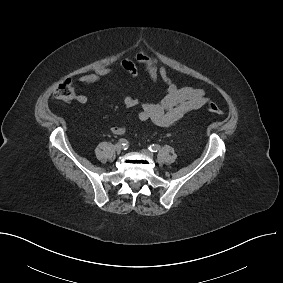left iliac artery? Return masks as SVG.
Returning a JSON list of instances; mask_svg holds the SVG:
<instances>
[{"label": "left iliac artery", "instance_id": "obj_1", "mask_svg": "<svg viewBox=\"0 0 283 283\" xmlns=\"http://www.w3.org/2000/svg\"><path fill=\"white\" fill-rule=\"evenodd\" d=\"M148 149L151 151V152H157L160 150V145L158 144H152L148 147Z\"/></svg>", "mask_w": 283, "mask_h": 283}]
</instances>
